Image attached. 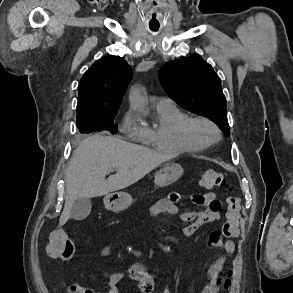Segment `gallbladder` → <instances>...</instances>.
Segmentation results:
<instances>
[{"instance_id":"1","label":"gallbladder","mask_w":293,"mask_h":293,"mask_svg":"<svg viewBox=\"0 0 293 293\" xmlns=\"http://www.w3.org/2000/svg\"><path fill=\"white\" fill-rule=\"evenodd\" d=\"M91 200L88 198H78L72 205L71 218L74 220H84L90 214Z\"/></svg>"}]
</instances>
